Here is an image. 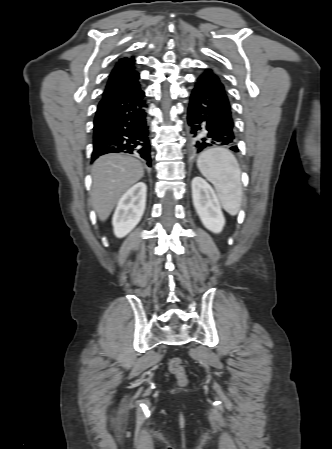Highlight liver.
I'll use <instances>...</instances> for the list:
<instances>
[{
	"label": "liver",
	"instance_id": "1",
	"mask_svg": "<svg viewBox=\"0 0 332 449\" xmlns=\"http://www.w3.org/2000/svg\"><path fill=\"white\" fill-rule=\"evenodd\" d=\"M144 175L140 161L123 154L99 157L92 166L91 204L105 221L121 196Z\"/></svg>",
	"mask_w": 332,
	"mask_h": 449
}]
</instances>
